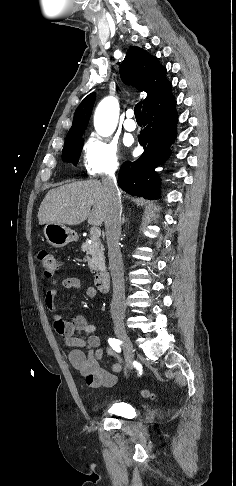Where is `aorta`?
Returning <instances> with one entry per match:
<instances>
[{"instance_id":"762f6f07","label":"aorta","mask_w":236,"mask_h":486,"mask_svg":"<svg viewBox=\"0 0 236 486\" xmlns=\"http://www.w3.org/2000/svg\"><path fill=\"white\" fill-rule=\"evenodd\" d=\"M119 108L116 99L106 98L97 107L94 115V127L98 134L109 136L118 121Z\"/></svg>"}]
</instances>
